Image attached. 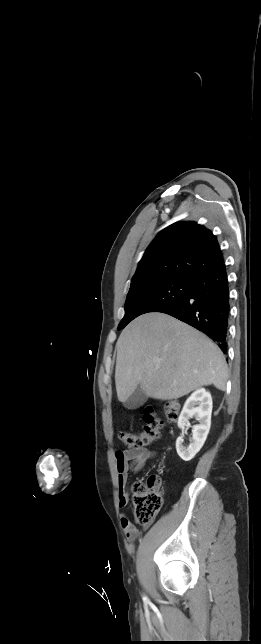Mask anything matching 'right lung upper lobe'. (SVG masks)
<instances>
[{"label":"right lung upper lobe","mask_w":261,"mask_h":644,"mask_svg":"<svg viewBox=\"0 0 261 644\" xmlns=\"http://www.w3.org/2000/svg\"><path fill=\"white\" fill-rule=\"evenodd\" d=\"M222 263L219 244L211 231L195 222L175 223L147 248L130 288L168 278L192 280Z\"/></svg>","instance_id":"right-lung-upper-lobe-1"}]
</instances>
